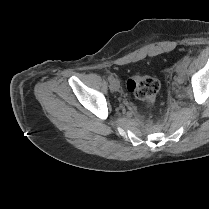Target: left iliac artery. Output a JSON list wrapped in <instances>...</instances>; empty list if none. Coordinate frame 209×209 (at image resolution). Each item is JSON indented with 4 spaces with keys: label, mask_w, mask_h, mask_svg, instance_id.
<instances>
[{
    "label": "left iliac artery",
    "mask_w": 209,
    "mask_h": 209,
    "mask_svg": "<svg viewBox=\"0 0 209 209\" xmlns=\"http://www.w3.org/2000/svg\"><path fill=\"white\" fill-rule=\"evenodd\" d=\"M191 57L189 55L184 56L183 61H185V63L188 64L190 63Z\"/></svg>",
    "instance_id": "left-iliac-artery-1"
}]
</instances>
